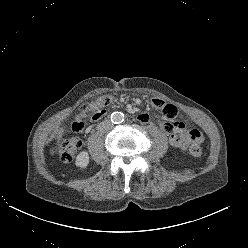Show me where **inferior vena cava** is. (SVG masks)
I'll return each mask as SVG.
<instances>
[{
    "label": "inferior vena cava",
    "mask_w": 248,
    "mask_h": 248,
    "mask_svg": "<svg viewBox=\"0 0 248 248\" xmlns=\"http://www.w3.org/2000/svg\"><path fill=\"white\" fill-rule=\"evenodd\" d=\"M112 127V123L107 120V121H104L101 125H100V128H107V129H110Z\"/></svg>",
    "instance_id": "obj_1"
}]
</instances>
